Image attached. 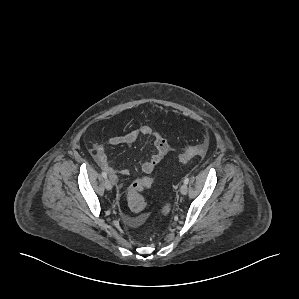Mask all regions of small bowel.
<instances>
[{
    "label": "small bowel",
    "mask_w": 299,
    "mask_h": 299,
    "mask_svg": "<svg viewBox=\"0 0 299 299\" xmlns=\"http://www.w3.org/2000/svg\"><path fill=\"white\" fill-rule=\"evenodd\" d=\"M143 136H152L154 138L155 153L150 156L148 160L142 163L141 169L144 173L150 174L153 172L155 167L160 163V161L168 153L169 146L167 141L162 138L155 130L149 126H141L137 129H134L124 135L113 136L108 139V144L117 146L122 144H131L135 142L138 138ZM94 159L96 163L105 170L109 175L111 180L117 182V172L123 175H129L128 169H120L119 171L115 170L109 163L105 150L102 146L95 148L93 152Z\"/></svg>",
    "instance_id": "c3829d8e"
}]
</instances>
